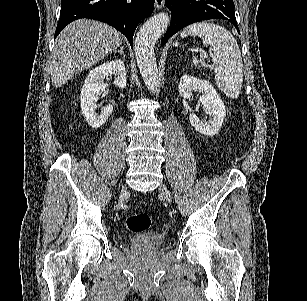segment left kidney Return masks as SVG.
<instances>
[{
  "label": "left kidney",
  "mask_w": 307,
  "mask_h": 301,
  "mask_svg": "<svg viewBox=\"0 0 307 301\" xmlns=\"http://www.w3.org/2000/svg\"><path fill=\"white\" fill-rule=\"evenodd\" d=\"M179 92L180 96H191L193 92H202L198 98L210 118L209 120H201L197 114H189V120L198 132H202L206 136L217 134L222 122H224L226 108L211 82L195 78L191 74H183L179 82Z\"/></svg>",
  "instance_id": "obj_1"
}]
</instances>
